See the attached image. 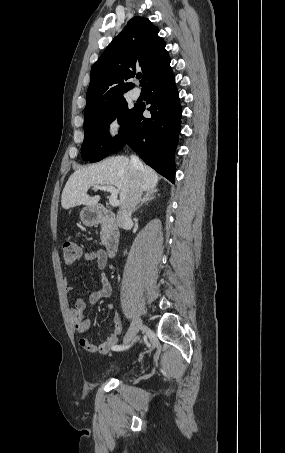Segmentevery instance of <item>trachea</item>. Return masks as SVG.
I'll return each mask as SVG.
<instances>
[{"instance_id": "3493384b", "label": "trachea", "mask_w": 285, "mask_h": 453, "mask_svg": "<svg viewBox=\"0 0 285 453\" xmlns=\"http://www.w3.org/2000/svg\"><path fill=\"white\" fill-rule=\"evenodd\" d=\"M137 78H138V79L142 78V75H138Z\"/></svg>"}]
</instances>
